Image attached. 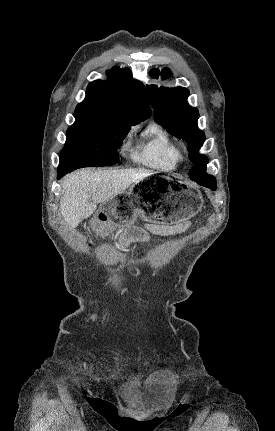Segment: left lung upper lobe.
Here are the masks:
<instances>
[{"mask_svg":"<svg viewBox=\"0 0 275 431\" xmlns=\"http://www.w3.org/2000/svg\"><path fill=\"white\" fill-rule=\"evenodd\" d=\"M159 74V69L151 71V75L155 78H158ZM170 75L169 69H163L161 72L162 78H167ZM147 93L149 102L155 109L154 118L156 122L189 144V158L195 163L189 174H207L208 159L198 152L205 141V134L199 130L197 125L198 110L187 103L188 89L183 87L158 88L156 85H147Z\"/></svg>","mask_w":275,"mask_h":431,"instance_id":"5c2ea615","label":"left lung upper lobe"}]
</instances>
